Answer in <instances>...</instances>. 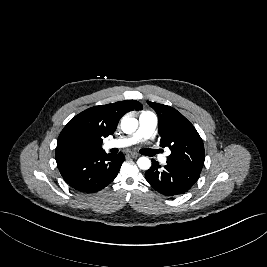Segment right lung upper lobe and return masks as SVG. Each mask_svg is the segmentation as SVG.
I'll use <instances>...</instances> for the list:
<instances>
[{"instance_id": "cb5924a9", "label": "right lung upper lobe", "mask_w": 267, "mask_h": 267, "mask_svg": "<svg viewBox=\"0 0 267 267\" xmlns=\"http://www.w3.org/2000/svg\"><path fill=\"white\" fill-rule=\"evenodd\" d=\"M141 108L138 101L125 100L86 109L64 127L56 148L63 140L75 137L82 139L89 146L90 152L102 150L103 138L115 132L120 118L131 110Z\"/></svg>"}]
</instances>
